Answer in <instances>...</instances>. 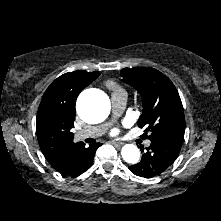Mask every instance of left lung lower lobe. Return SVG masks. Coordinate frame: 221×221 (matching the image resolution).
<instances>
[{"label":"left lung lower lobe","mask_w":221,"mask_h":221,"mask_svg":"<svg viewBox=\"0 0 221 221\" xmlns=\"http://www.w3.org/2000/svg\"><path fill=\"white\" fill-rule=\"evenodd\" d=\"M150 141L151 144L143 154L141 161L129 166L132 173L144 178L158 176L168 169L178 157L183 143L164 138H153ZM141 152H143V147Z\"/></svg>","instance_id":"left-lung-lower-lobe-1"}]
</instances>
